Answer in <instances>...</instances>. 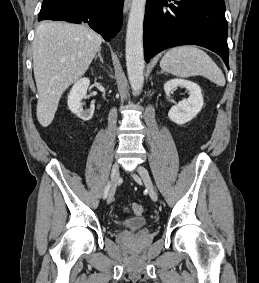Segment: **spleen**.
<instances>
[{
  "label": "spleen",
  "instance_id": "3e777b00",
  "mask_svg": "<svg viewBox=\"0 0 259 283\" xmlns=\"http://www.w3.org/2000/svg\"><path fill=\"white\" fill-rule=\"evenodd\" d=\"M163 71L177 77L202 75L219 86L225 85V77L216 63L195 46L174 47L160 61Z\"/></svg>",
  "mask_w": 259,
  "mask_h": 283
}]
</instances>
